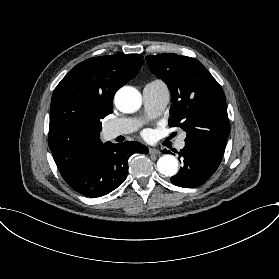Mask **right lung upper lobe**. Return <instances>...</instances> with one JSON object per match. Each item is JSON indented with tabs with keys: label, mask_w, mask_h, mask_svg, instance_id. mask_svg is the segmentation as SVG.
Masks as SVG:
<instances>
[{
	"label": "right lung upper lobe",
	"mask_w": 279,
	"mask_h": 279,
	"mask_svg": "<svg viewBox=\"0 0 279 279\" xmlns=\"http://www.w3.org/2000/svg\"><path fill=\"white\" fill-rule=\"evenodd\" d=\"M141 54L106 55L77 64L55 88L48 144L63 177L94 157L104 145L101 119L113 111L115 92L143 65Z\"/></svg>",
	"instance_id": "right-lung-upper-lobe-1"
}]
</instances>
